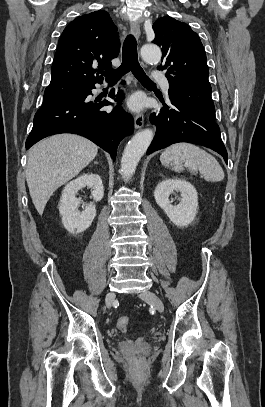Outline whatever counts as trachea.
Wrapping results in <instances>:
<instances>
[{
  "mask_svg": "<svg viewBox=\"0 0 265 407\" xmlns=\"http://www.w3.org/2000/svg\"><path fill=\"white\" fill-rule=\"evenodd\" d=\"M122 64L116 70L103 72L107 81H118L124 74L132 71L138 81L145 85H155V83L145 74L138 62L137 42L133 35H128L123 44Z\"/></svg>",
  "mask_w": 265,
  "mask_h": 407,
  "instance_id": "1",
  "label": "trachea"
}]
</instances>
